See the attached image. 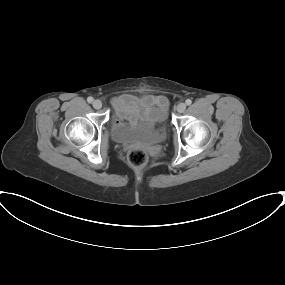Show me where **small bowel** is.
<instances>
[{
  "mask_svg": "<svg viewBox=\"0 0 285 285\" xmlns=\"http://www.w3.org/2000/svg\"><path fill=\"white\" fill-rule=\"evenodd\" d=\"M116 104L121 106L124 119L128 122H136L149 116L155 117L158 109L167 110L168 106L165 97L155 95H145L141 98L124 95L116 100ZM155 106L156 109H154Z\"/></svg>",
  "mask_w": 285,
  "mask_h": 285,
  "instance_id": "1",
  "label": "small bowel"
}]
</instances>
